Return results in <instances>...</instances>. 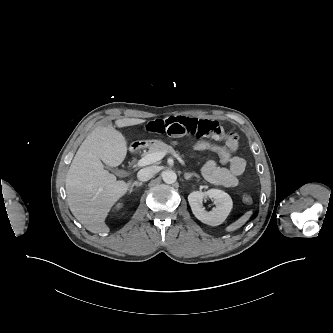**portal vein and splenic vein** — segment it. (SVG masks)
<instances>
[{
	"label": "portal vein and splenic vein",
	"instance_id": "obj_1",
	"mask_svg": "<svg viewBox=\"0 0 333 333\" xmlns=\"http://www.w3.org/2000/svg\"><path fill=\"white\" fill-rule=\"evenodd\" d=\"M165 155H166L165 152H154V153L147 154L144 157H142L140 160H138L136 165H137V167H143L146 165L153 164V163L161 160ZM173 156L176 157L181 164H183V165L185 164L184 160L181 157H179L176 154H174Z\"/></svg>",
	"mask_w": 333,
	"mask_h": 333
}]
</instances>
